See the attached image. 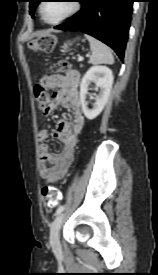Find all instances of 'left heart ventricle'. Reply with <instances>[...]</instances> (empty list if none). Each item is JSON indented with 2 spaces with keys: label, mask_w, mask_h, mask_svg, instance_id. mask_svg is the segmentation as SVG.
Masks as SVG:
<instances>
[{
  "label": "left heart ventricle",
  "mask_w": 158,
  "mask_h": 275,
  "mask_svg": "<svg viewBox=\"0 0 158 275\" xmlns=\"http://www.w3.org/2000/svg\"><path fill=\"white\" fill-rule=\"evenodd\" d=\"M72 8V1L51 0L47 1L43 7V15L48 21H56L65 16Z\"/></svg>",
  "instance_id": "obj_1"
}]
</instances>
